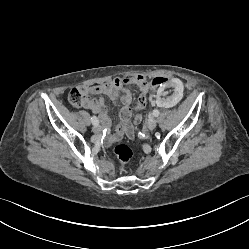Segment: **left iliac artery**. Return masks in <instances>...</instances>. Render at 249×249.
<instances>
[{
  "label": "left iliac artery",
  "mask_w": 249,
  "mask_h": 249,
  "mask_svg": "<svg viewBox=\"0 0 249 249\" xmlns=\"http://www.w3.org/2000/svg\"><path fill=\"white\" fill-rule=\"evenodd\" d=\"M160 114V111L158 109L153 110L152 115L157 117Z\"/></svg>",
  "instance_id": "left-iliac-artery-1"
}]
</instances>
